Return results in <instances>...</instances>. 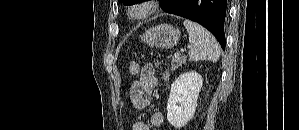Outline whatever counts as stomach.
Instances as JSON below:
<instances>
[{
  "label": "stomach",
  "mask_w": 299,
  "mask_h": 130,
  "mask_svg": "<svg viewBox=\"0 0 299 130\" xmlns=\"http://www.w3.org/2000/svg\"><path fill=\"white\" fill-rule=\"evenodd\" d=\"M180 35V31L173 26L161 24L146 30L140 39L150 47L170 49L176 46Z\"/></svg>",
  "instance_id": "obj_1"
}]
</instances>
